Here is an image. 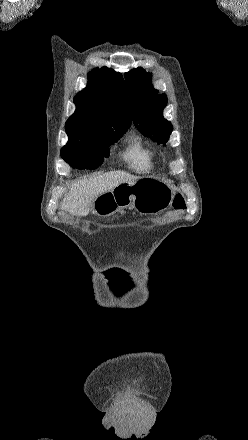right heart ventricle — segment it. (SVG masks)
I'll return each mask as SVG.
<instances>
[{"label":"right heart ventricle","instance_id":"1","mask_svg":"<svg viewBox=\"0 0 248 440\" xmlns=\"http://www.w3.org/2000/svg\"><path fill=\"white\" fill-rule=\"evenodd\" d=\"M128 167L138 173L150 172L154 167L153 154L139 141L132 142L123 153Z\"/></svg>","mask_w":248,"mask_h":440}]
</instances>
